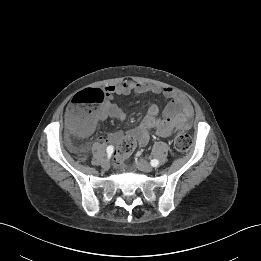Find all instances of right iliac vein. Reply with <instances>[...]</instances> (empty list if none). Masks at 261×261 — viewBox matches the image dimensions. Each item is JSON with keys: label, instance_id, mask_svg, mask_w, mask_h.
Returning a JSON list of instances; mask_svg holds the SVG:
<instances>
[{"label": "right iliac vein", "instance_id": "right-iliac-vein-1", "mask_svg": "<svg viewBox=\"0 0 261 261\" xmlns=\"http://www.w3.org/2000/svg\"><path fill=\"white\" fill-rule=\"evenodd\" d=\"M101 166H102V168H104V169H109V167H110V162H109L107 159H103L102 162H101Z\"/></svg>", "mask_w": 261, "mask_h": 261}]
</instances>
